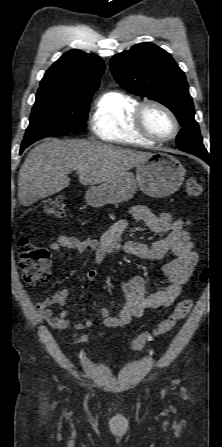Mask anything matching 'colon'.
<instances>
[{
	"label": "colon",
	"instance_id": "5ec220e1",
	"mask_svg": "<svg viewBox=\"0 0 222 447\" xmlns=\"http://www.w3.org/2000/svg\"><path fill=\"white\" fill-rule=\"evenodd\" d=\"M185 192L189 197H196L201 193V187L196 179L187 180ZM44 212L55 218L66 217L67 199L65 197H55L47 201L44 205ZM18 256L22 278L26 284L33 286L48 280L50 277L51 253L47 248L37 246L27 239H21L18 243ZM208 278L209 271L205 269L201 280L206 282ZM192 307V299H183L178 302L165 319L136 336L131 343V349L141 351L153 336L163 335L171 331L189 314Z\"/></svg>",
	"mask_w": 222,
	"mask_h": 447
}]
</instances>
